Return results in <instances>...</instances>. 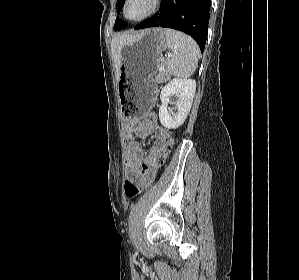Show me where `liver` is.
I'll return each mask as SVG.
<instances>
[{"instance_id": "obj_1", "label": "liver", "mask_w": 299, "mask_h": 280, "mask_svg": "<svg viewBox=\"0 0 299 280\" xmlns=\"http://www.w3.org/2000/svg\"><path fill=\"white\" fill-rule=\"evenodd\" d=\"M135 35H130V34H122V35H117L112 39L111 42V51H112V56L114 60V65L116 69V78L117 81L119 80L120 76V58H121V51L123 46L135 39Z\"/></svg>"}]
</instances>
